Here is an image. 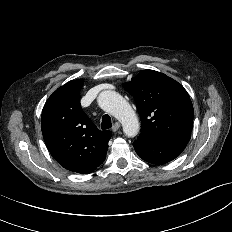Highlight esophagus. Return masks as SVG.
<instances>
[{"mask_svg": "<svg viewBox=\"0 0 232 232\" xmlns=\"http://www.w3.org/2000/svg\"><path fill=\"white\" fill-rule=\"evenodd\" d=\"M119 128H120V123L116 122V123H114V125L112 127V131L117 132Z\"/></svg>", "mask_w": 232, "mask_h": 232, "instance_id": "1", "label": "esophagus"}]
</instances>
